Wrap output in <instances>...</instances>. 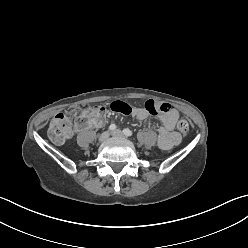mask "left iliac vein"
I'll return each instance as SVG.
<instances>
[{"label": "left iliac vein", "instance_id": "left-iliac-vein-1", "mask_svg": "<svg viewBox=\"0 0 248 248\" xmlns=\"http://www.w3.org/2000/svg\"><path fill=\"white\" fill-rule=\"evenodd\" d=\"M111 135H112L113 137H119V138H124V137H125L124 134L122 133V131H120V130H115V131H113V132L111 133Z\"/></svg>", "mask_w": 248, "mask_h": 248}]
</instances>
